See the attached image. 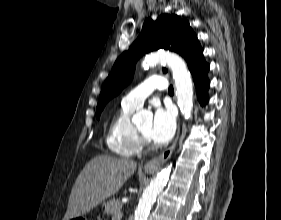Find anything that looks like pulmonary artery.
<instances>
[{"label":"pulmonary artery","mask_w":281,"mask_h":220,"mask_svg":"<svg viewBox=\"0 0 281 220\" xmlns=\"http://www.w3.org/2000/svg\"><path fill=\"white\" fill-rule=\"evenodd\" d=\"M167 85L164 77L151 76L129 91L122 101L131 107L140 108L154 90H165Z\"/></svg>","instance_id":"pulmonary-artery-1"}]
</instances>
